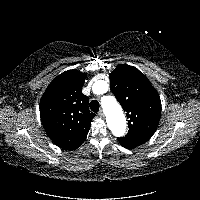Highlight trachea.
Segmentation results:
<instances>
[{"instance_id": "1", "label": "trachea", "mask_w": 200, "mask_h": 200, "mask_svg": "<svg viewBox=\"0 0 200 200\" xmlns=\"http://www.w3.org/2000/svg\"><path fill=\"white\" fill-rule=\"evenodd\" d=\"M99 107H100V105H99V102L97 100H92L90 102V109L93 112L97 113L99 111Z\"/></svg>"}]
</instances>
